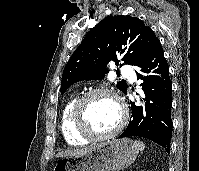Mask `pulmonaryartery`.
I'll return each instance as SVG.
<instances>
[{
    "mask_svg": "<svg viewBox=\"0 0 199 171\" xmlns=\"http://www.w3.org/2000/svg\"><path fill=\"white\" fill-rule=\"evenodd\" d=\"M120 70L123 73V75L128 76L131 81H135V74L131 71V69L128 66H122Z\"/></svg>",
    "mask_w": 199,
    "mask_h": 171,
    "instance_id": "e3ab8cb5",
    "label": "pulmonary artery"
}]
</instances>
